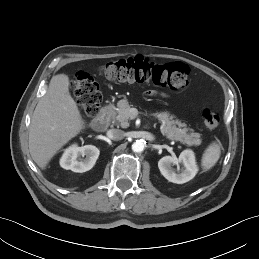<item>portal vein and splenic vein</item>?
<instances>
[{
    "label": "portal vein and splenic vein",
    "mask_w": 259,
    "mask_h": 259,
    "mask_svg": "<svg viewBox=\"0 0 259 259\" xmlns=\"http://www.w3.org/2000/svg\"><path fill=\"white\" fill-rule=\"evenodd\" d=\"M130 113H131V116H132V117H136V115H137V109L131 108V109H130Z\"/></svg>",
    "instance_id": "1"
}]
</instances>
